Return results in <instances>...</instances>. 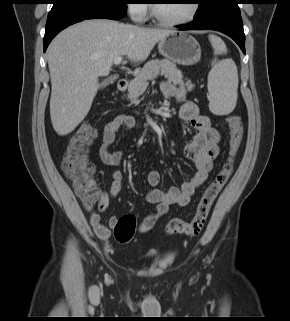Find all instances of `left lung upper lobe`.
Instances as JSON below:
<instances>
[{
	"label": "left lung upper lobe",
	"instance_id": "obj_1",
	"mask_svg": "<svg viewBox=\"0 0 290 321\" xmlns=\"http://www.w3.org/2000/svg\"><path fill=\"white\" fill-rule=\"evenodd\" d=\"M199 4V8L195 14V16H200L211 10L212 8L219 5L223 0H197Z\"/></svg>",
	"mask_w": 290,
	"mask_h": 321
}]
</instances>
